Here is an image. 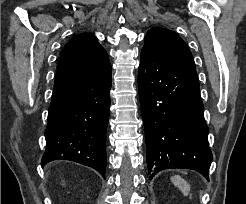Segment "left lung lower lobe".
Here are the masks:
<instances>
[{
    "instance_id": "obj_1",
    "label": "left lung lower lobe",
    "mask_w": 246,
    "mask_h": 204,
    "mask_svg": "<svg viewBox=\"0 0 246 204\" xmlns=\"http://www.w3.org/2000/svg\"><path fill=\"white\" fill-rule=\"evenodd\" d=\"M138 88L150 179L163 169L185 168L209 180L213 156L196 70L142 51Z\"/></svg>"
}]
</instances>
